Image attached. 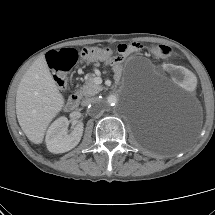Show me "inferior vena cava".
<instances>
[{
    "instance_id": "inferior-vena-cava-1",
    "label": "inferior vena cava",
    "mask_w": 215,
    "mask_h": 215,
    "mask_svg": "<svg viewBox=\"0 0 215 215\" xmlns=\"http://www.w3.org/2000/svg\"><path fill=\"white\" fill-rule=\"evenodd\" d=\"M99 102L98 98H87L82 101L83 106H88L90 104H96Z\"/></svg>"
}]
</instances>
